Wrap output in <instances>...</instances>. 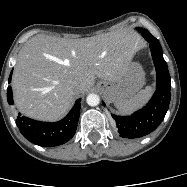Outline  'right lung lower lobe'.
<instances>
[{
    "instance_id": "1",
    "label": "right lung lower lobe",
    "mask_w": 187,
    "mask_h": 187,
    "mask_svg": "<svg viewBox=\"0 0 187 187\" xmlns=\"http://www.w3.org/2000/svg\"><path fill=\"white\" fill-rule=\"evenodd\" d=\"M11 75L9 77V83L11 82ZM7 99L10 105H13L12 89L9 86L7 89ZM80 101L78 99L75 102L74 107L68 113V115L62 120L49 123L32 120L21 113H18L16 123L21 134L30 142L42 146L53 147L66 143L75 134L78 119L80 115Z\"/></svg>"
}]
</instances>
